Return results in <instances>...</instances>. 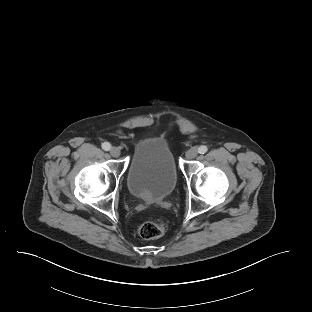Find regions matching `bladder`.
<instances>
[{"label":"bladder","mask_w":312,"mask_h":312,"mask_svg":"<svg viewBox=\"0 0 312 312\" xmlns=\"http://www.w3.org/2000/svg\"><path fill=\"white\" fill-rule=\"evenodd\" d=\"M179 178L173 151L158 136L147 137L135 148L127 171L129 192L145 202H157L175 189Z\"/></svg>","instance_id":"obj_1"}]
</instances>
